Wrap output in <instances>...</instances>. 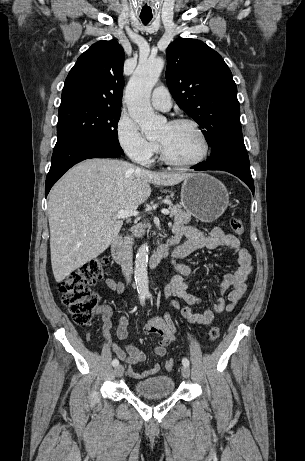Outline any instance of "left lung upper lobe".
I'll list each match as a JSON object with an SVG mask.
<instances>
[{
	"mask_svg": "<svg viewBox=\"0 0 305 461\" xmlns=\"http://www.w3.org/2000/svg\"><path fill=\"white\" fill-rule=\"evenodd\" d=\"M166 78L178 106L201 127L215 159L227 134L241 130L232 73L205 43L179 38L167 48Z\"/></svg>",
	"mask_w": 305,
	"mask_h": 461,
	"instance_id": "5c2ea615",
	"label": "left lung upper lobe"
}]
</instances>
